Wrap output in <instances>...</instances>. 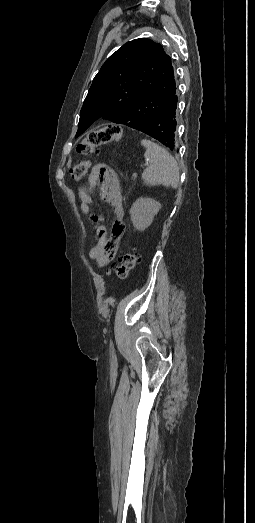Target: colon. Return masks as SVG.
<instances>
[{
  "mask_svg": "<svg viewBox=\"0 0 255 523\" xmlns=\"http://www.w3.org/2000/svg\"><path fill=\"white\" fill-rule=\"evenodd\" d=\"M122 130L117 126H106L90 131L79 143L78 152L85 158L75 164L70 173L75 180L82 179L90 168L88 157L101 145L116 143L121 139ZM138 260L137 253L128 251L119 257V265L113 269L114 275L119 279L127 278L129 272L136 266Z\"/></svg>",
  "mask_w": 255,
  "mask_h": 523,
  "instance_id": "obj_1",
  "label": "colon"
}]
</instances>
